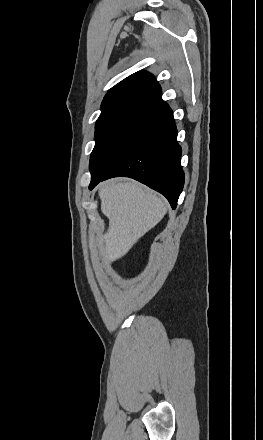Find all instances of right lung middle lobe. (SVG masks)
<instances>
[{
  "label": "right lung middle lobe",
  "mask_w": 263,
  "mask_h": 440,
  "mask_svg": "<svg viewBox=\"0 0 263 440\" xmlns=\"http://www.w3.org/2000/svg\"><path fill=\"white\" fill-rule=\"evenodd\" d=\"M160 107L116 108L99 116L90 156L91 179L104 176L159 114Z\"/></svg>",
  "instance_id": "right-lung-middle-lobe-1"
}]
</instances>
